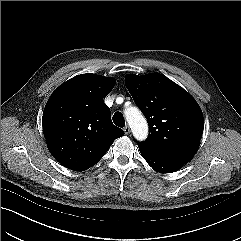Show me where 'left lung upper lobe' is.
<instances>
[{
	"instance_id": "left-lung-upper-lobe-1",
	"label": "left lung upper lobe",
	"mask_w": 241,
	"mask_h": 241,
	"mask_svg": "<svg viewBox=\"0 0 241 241\" xmlns=\"http://www.w3.org/2000/svg\"><path fill=\"white\" fill-rule=\"evenodd\" d=\"M126 87L149 124V137L138 146L171 161L189 162L204 129L202 111L193 97L158 73L129 74Z\"/></svg>"
}]
</instances>
